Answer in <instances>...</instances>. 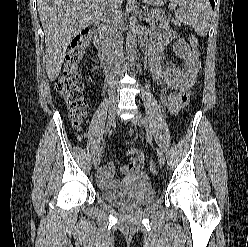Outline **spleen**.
<instances>
[{
    "mask_svg": "<svg viewBox=\"0 0 248 247\" xmlns=\"http://www.w3.org/2000/svg\"><path fill=\"white\" fill-rule=\"evenodd\" d=\"M179 6L175 12L177 20L194 28L197 35H207L211 22V5L209 0H170Z\"/></svg>",
    "mask_w": 248,
    "mask_h": 247,
    "instance_id": "obj_1",
    "label": "spleen"
}]
</instances>
